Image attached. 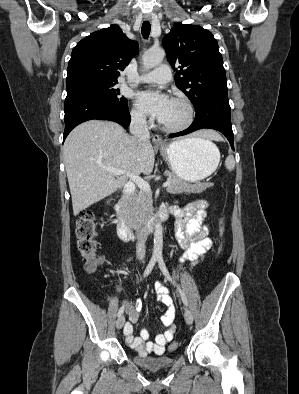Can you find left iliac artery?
<instances>
[{"label":"left iliac artery","mask_w":299,"mask_h":394,"mask_svg":"<svg viewBox=\"0 0 299 394\" xmlns=\"http://www.w3.org/2000/svg\"><path fill=\"white\" fill-rule=\"evenodd\" d=\"M157 261H158L159 267H160L161 271L163 272L164 276L166 277V279L171 281L174 285L177 286L180 296H181V299H182L183 303L187 306V298H186L184 292L181 290L180 286H178L177 283L171 278V276L168 272V269L164 263L163 257L158 256Z\"/></svg>","instance_id":"1"}]
</instances>
